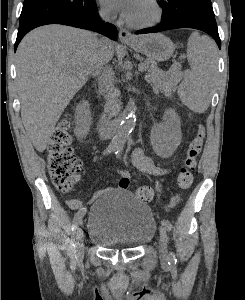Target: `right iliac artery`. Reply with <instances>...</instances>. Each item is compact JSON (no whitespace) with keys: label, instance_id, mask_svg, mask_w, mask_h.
<instances>
[{"label":"right iliac artery","instance_id":"right-iliac-artery-1","mask_svg":"<svg viewBox=\"0 0 245 300\" xmlns=\"http://www.w3.org/2000/svg\"><path fill=\"white\" fill-rule=\"evenodd\" d=\"M115 151V148L114 147H111V146H108L103 154L106 155V154H109L111 152ZM85 214V210L82 209V210H79L75 215H74V218H73V223H72V226H71V231L74 235L75 231L77 230L78 228V224L81 222L83 216ZM68 251H69V254L71 255L72 258H75V254H76V251H75V244H74V241L73 239H71L70 241V245H69V248H68Z\"/></svg>","mask_w":245,"mask_h":300}]
</instances>
